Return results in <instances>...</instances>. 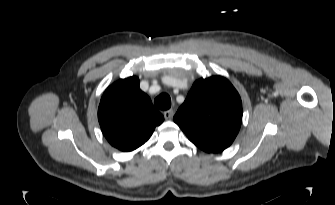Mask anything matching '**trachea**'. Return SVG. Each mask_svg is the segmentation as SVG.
Instances as JSON below:
<instances>
[{
	"instance_id": "obj_1",
	"label": "trachea",
	"mask_w": 335,
	"mask_h": 205,
	"mask_svg": "<svg viewBox=\"0 0 335 205\" xmlns=\"http://www.w3.org/2000/svg\"><path fill=\"white\" fill-rule=\"evenodd\" d=\"M154 104L160 110H168L171 107V98L168 94L162 93L156 97Z\"/></svg>"
}]
</instances>
